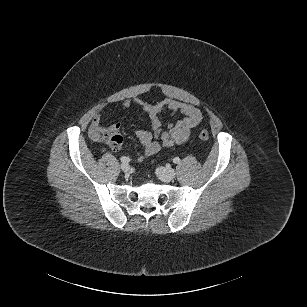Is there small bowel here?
I'll return each instance as SVG.
<instances>
[{"mask_svg": "<svg viewBox=\"0 0 307 307\" xmlns=\"http://www.w3.org/2000/svg\"><path fill=\"white\" fill-rule=\"evenodd\" d=\"M132 103L128 99L123 102L122 107L129 108ZM136 104L147 114L148 125L152 130L139 129L136 131V136L142 145V152L137 158L138 161L156 154L161 146L172 147L185 143L190 137L191 130L198 126L202 120V113L199 108L176 100L165 99L156 104L137 100ZM166 111L173 114L180 113L183 117L176 123H170L166 128H163L161 116ZM115 131H119V125L104 126L102 111H98L90 124L88 134L93 141L108 143L110 133Z\"/></svg>", "mask_w": 307, "mask_h": 307, "instance_id": "1", "label": "small bowel"}]
</instances>
